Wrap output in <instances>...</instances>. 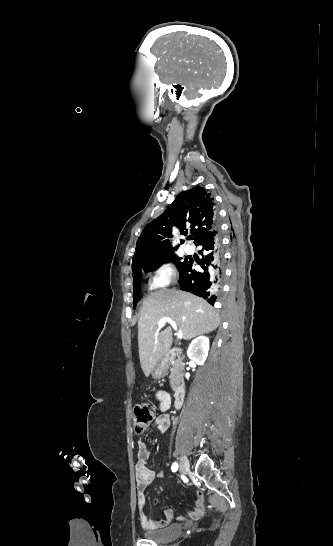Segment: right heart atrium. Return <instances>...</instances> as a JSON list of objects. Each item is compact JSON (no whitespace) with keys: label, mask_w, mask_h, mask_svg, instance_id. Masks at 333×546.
Listing matches in <instances>:
<instances>
[{"label":"right heart atrium","mask_w":333,"mask_h":546,"mask_svg":"<svg viewBox=\"0 0 333 546\" xmlns=\"http://www.w3.org/2000/svg\"><path fill=\"white\" fill-rule=\"evenodd\" d=\"M176 280V271L168 263L160 265L151 275L148 287L150 290L161 289L170 286Z\"/></svg>","instance_id":"right-heart-atrium-1"}]
</instances>
